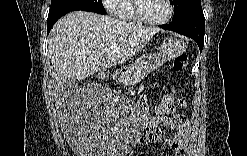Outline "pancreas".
I'll return each instance as SVG.
<instances>
[{"label":"pancreas","instance_id":"pancreas-1","mask_svg":"<svg viewBox=\"0 0 247 156\" xmlns=\"http://www.w3.org/2000/svg\"><path fill=\"white\" fill-rule=\"evenodd\" d=\"M125 70L126 72L122 76H118L119 73H116L114 75V79L124 83L127 86L140 82L150 72L142 63L139 62L133 63L129 67H126Z\"/></svg>","mask_w":247,"mask_h":156}]
</instances>
